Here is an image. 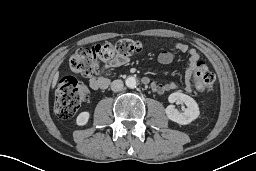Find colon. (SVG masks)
<instances>
[{"mask_svg":"<svg viewBox=\"0 0 256 171\" xmlns=\"http://www.w3.org/2000/svg\"><path fill=\"white\" fill-rule=\"evenodd\" d=\"M141 50V43L132 39L98 44L78 49L68 61V68L85 76L93 75L98 61H110L116 57H129ZM191 78L199 93H211L215 89V75L205 62L198 61ZM55 112L67 119L89 98L88 87L77 79L67 76L62 78L55 89Z\"/></svg>","mask_w":256,"mask_h":171,"instance_id":"colon-1","label":"colon"}]
</instances>
